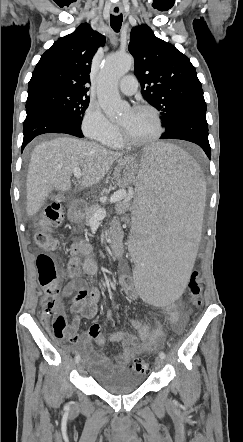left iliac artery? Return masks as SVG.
<instances>
[{"instance_id": "1", "label": "left iliac artery", "mask_w": 243, "mask_h": 442, "mask_svg": "<svg viewBox=\"0 0 243 442\" xmlns=\"http://www.w3.org/2000/svg\"><path fill=\"white\" fill-rule=\"evenodd\" d=\"M159 356H160L162 359H164V358L166 357V355H165V353H164L163 351H161V352L159 353Z\"/></svg>"}]
</instances>
